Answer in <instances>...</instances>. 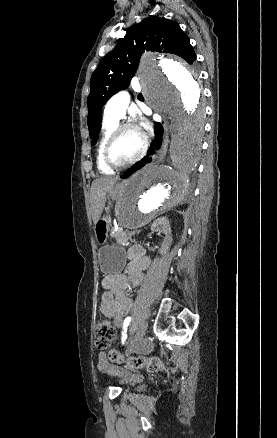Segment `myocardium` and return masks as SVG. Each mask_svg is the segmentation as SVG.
Masks as SVG:
<instances>
[{
    "instance_id": "myocardium-1",
    "label": "myocardium",
    "mask_w": 277,
    "mask_h": 438,
    "mask_svg": "<svg viewBox=\"0 0 277 438\" xmlns=\"http://www.w3.org/2000/svg\"><path fill=\"white\" fill-rule=\"evenodd\" d=\"M127 129L135 130L140 135V137L142 139V146H141L139 153L133 159L126 161V162H123V163H118V162H115L112 160L111 149H112L115 141L117 140V138L120 136V134ZM146 148H147V140L142 135L139 128L135 124H133L131 122L119 123L116 125V127L111 132L110 136L108 137V139L106 141V144H105L104 149H103V160H104L105 164L111 169L127 168V167L135 164L137 161H139L143 157V155L145 154Z\"/></svg>"
}]
</instances>
